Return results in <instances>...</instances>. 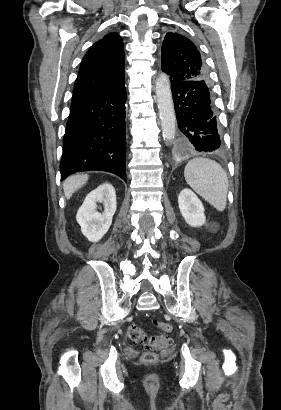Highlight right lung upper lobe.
I'll return each instance as SVG.
<instances>
[{"label": "right lung upper lobe", "mask_w": 281, "mask_h": 410, "mask_svg": "<svg viewBox=\"0 0 281 410\" xmlns=\"http://www.w3.org/2000/svg\"><path fill=\"white\" fill-rule=\"evenodd\" d=\"M124 76L123 41L112 32L96 42L83 58L74 85L73 103L121 86Z\"/></svg>", "instance_id": "obj_1"}]
</instances>
